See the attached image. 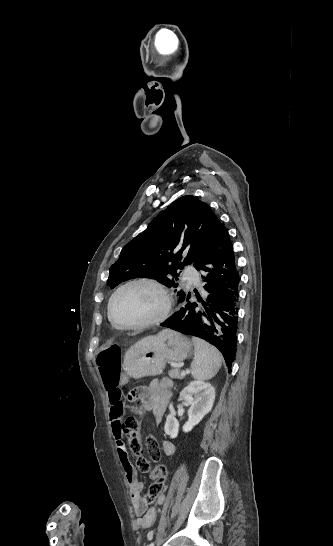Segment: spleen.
<instances>
[{"label": "spleen", "mask_w": 333, "mask_h": 546, "mask_svg": "<svg viewBox=\"0 0 333 546\" xmlns=\"http://www.w3.org/2000/svg\"><path fill=\"white\" fill-rule=\"evenodd\" d=\"M192 341L195 357L191 363V374L196 380H210L221 367L222 355L214 346L200 338L193 337Z\"/></svg>", "instance_id": "1"}]
</instances>
